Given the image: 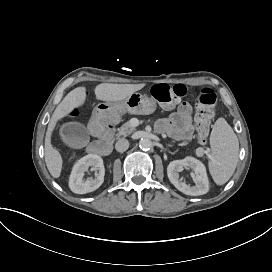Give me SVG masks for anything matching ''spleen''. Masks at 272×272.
Segmentation results:
<instances>
[{"instance_id": "spleen-1", "label": "spleen", "mask_w": 272, "mask_h": 272, "mask_svg": "<svg viewBox=\"0 0 272 272\" xmlns=\"http://www.w3.org/2000/svg\"><path fill=\"white\" fill-rule=\"evenodd\" d=\"M209 173L217 185L225 184L234 174L239 155V141L224 118H218L210 133Z\"/></svg>"}]
</instances>
